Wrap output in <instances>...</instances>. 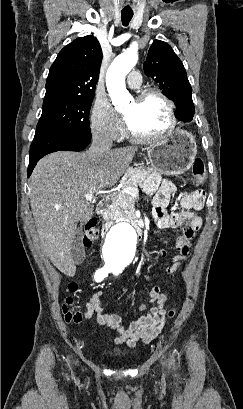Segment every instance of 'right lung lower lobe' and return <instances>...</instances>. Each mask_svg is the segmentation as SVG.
Returning a JSON list of instances; mask_svg holds the SVG:
<instances>
[{"label": "right lung lower lobe", "mask_w": 243, "mask_h": 409, "mask_svg": "<svg viewBox=\"0 0 243 409\" xmlns=\"http://www.w3.org/2000/svg\"><path fill=\"white\" fill-rule=\"evenodd\" d=\"M91 142L90 134L58 133L37 130L31 144L27 175H31L36 163L45 155L62 150L81 151Z\"/></svg>", "instance_id": "98d812e1"}]
</instances>
